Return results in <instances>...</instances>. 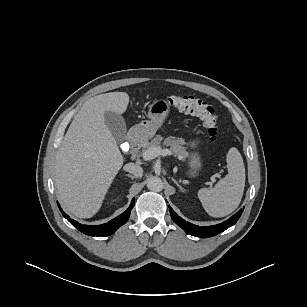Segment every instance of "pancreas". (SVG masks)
Returning <instances> with one entry per match:
<instances>
[{"mask_svg": "<svg viewBox=\"0 0 307 307\" xmlns=\"http://www.w3.org/2000/svg\"><path fill=\"white\" fill-rule=\"evenodd\" d=\"M163 137L161 135L155 136L150 142H145L143 144L142 152L149 148L160 147ZM163 146L169 147L171 154L177 157L179 160H184L188 156L186 148L183 146L185 144L182 138H173L171 136L164 139L162 142Z\"/></svg>", "mask_w": 307, "mask_h": 307, "instance_id": "cf45deb5", "label": "pancreas"}]
</instances>
